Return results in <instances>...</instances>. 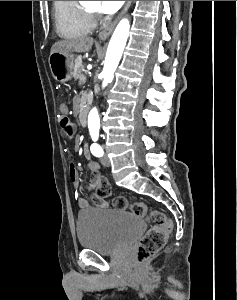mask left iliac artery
<instances>
[{
  "label": "left iliac artery",
  "instance_id": "1",
  "mask_svg": "<svg viewBox=\"0 0 237 300\" xmlns=\"http://www.w3.org/2000/svg\"><path fill=\"white\" fill-rule=\"evenodd\" d=\"M91 138L94 142H96L98 140V133L95 132H90ZM91 153L96 156V157H101L103 156V149L102 147L97 144V143H93L90 147Z\"/></svg>",
  "mask_w": 237,
  "mask_h": 300
}]
</instances>
